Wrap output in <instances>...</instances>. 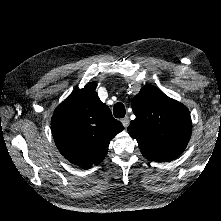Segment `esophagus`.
Instances as JSON below:
<instances>
[{
  "label": "esophagus",
  "mask_w": 221,
  "mask_h": 221,
  "mask_svg": "<svg viewBox=\"0 0 221 221\" xmlns=\"http://www.w3.org/2000/svg\"><path fill=\"white\" fill-rule=\"evenodd\" d=\"M121 122H122L123 126L126 128L128 126V124H129V119L128 118H124V119L121 120Z\"/></svg>",
  "instance_id": "1"
}]
</instances>
